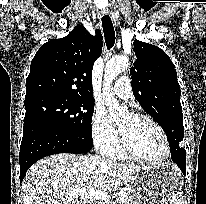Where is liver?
Listing matches in <instances>:
<instances>
[{
    "label": "liver",
    "instance_id": "1",
    "mask_svg": "<svg viewBox=\"0 0 206 204\" xmlns=\"http://www.w3.org/2000/svg\"><path fill=\"white\" fill-rule=\"evenodd\" d=\"M141 168L97 155H51L27 171L22 183L24 204H80L77 195H71L75 189L111 191L130 182Z\"/></svg>",
    "mask_w": 206,
    "mask_h": 204
}]
</instances>
